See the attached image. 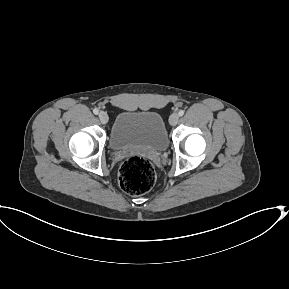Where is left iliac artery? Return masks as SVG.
Returning a JSON list of instances; mask_svg holds the SVG:
<instances>
[{"mask_svg":"<svg viewBox=\"0 0 289 289\" xmlns=\"http://www.w3.org/2000/svg\"><path fill=\"white\" fill-rule=\"evenodd\" d=\"M184 113H185V111H184V110H180V111L178 112L179 116H183V115H184Z\"/></svg>","mask_w":289,"mask_h":289,"instance_id":"44dca946","label":"left iliac artery"}]
</instances>
